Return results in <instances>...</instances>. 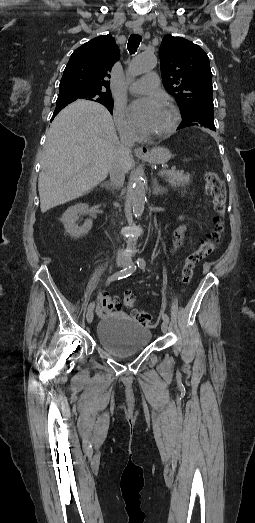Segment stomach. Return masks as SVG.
Listing matches in <instances>:
<instances>
[{"instance_id":"stomach-1","label":"stomach","mask_w":255,"mask_h":523,"mask_svg":"<svg viewBox=\"0 0 255 523\" xmlns=\"http://www.w3.org/2000/svg\"><path fill=\"white\" fill-rule=\"evenodd\" d=\"M140 160L150 162V164H165L171 158V154L167 148H152V150H144L142 156H137Z\"/></svg>"}]
</instances>
